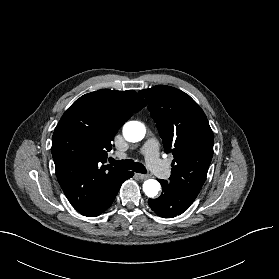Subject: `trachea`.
Here are the masks:
<instances>
[{"mask_svg":"<svg viewBox=\"0 0 279 279\" xmlns=\"http://www.w3.org/2000/svg\"><path fill=\"white\" fill-rule=\"evenodd\" d=\"M109 163L115 167L121 168V169H126V170H131L137 172V173H147L146 168L144 167L143 164L139 162H134L131 159H126V160H118L116 161L113 158H109Z\"/></svg>","mask_w":279,"mask_h":279,"instance_id":"1","label":"trachea"}]
</instances>
